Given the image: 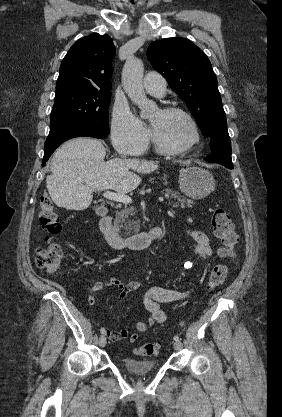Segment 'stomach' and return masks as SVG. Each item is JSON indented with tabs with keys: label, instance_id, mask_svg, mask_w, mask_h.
<instances>
[{
	"label": "stomach",
	"instance_id": "stomach-1",
	"mask_svg": "<svg viewBox=\"0 0 282 417\" xmlns=\"http://www.w3.org/2000/svg\"><path fill=\"white\" fill-rule=\"evenodd\" d=\"M179 184L182 192L190 198H205L214 190L216 182L209 170L199 166H188L180 170Z\"/></svg>",
	"mask_w": 282,
	"mask_h": 417
}]
</instances>
